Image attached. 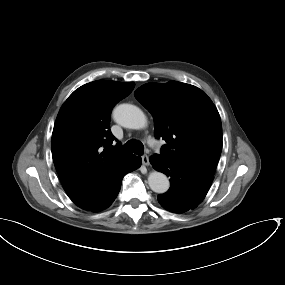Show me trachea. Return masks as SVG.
<instances>
[{
  "label": "trachea",
  "instance_id": "3493384b",
  "mask_svg": "<svg viewBox=\"0 0 285 285\" xmlns=\"http://www.w3.org/2000/svg\"><path fill=\"white\" fill-rule=\"evenodd\" d=\"M122 151L125 153H135L142 155L144 153V146L140 141L130 140L124 144Z\"/></svg>",
  "mask_w": 285,
  "mask_h": 285
}]
</instances>
